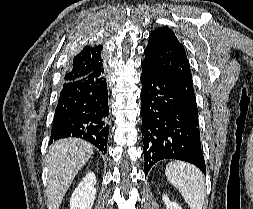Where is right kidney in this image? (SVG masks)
<instances>
[{
	"label": "right kidney",
	"mask_w": 253,
	"mask_h": 209,
	"mask_svg": "<svg viewBox=\"0 0 253 209\" xmlns=\"http://www.w3.org/2000/svg\"><path fill=\"white\" fill-rule=\"evenodd\" d=\"M95 184V174L88 173L74 190L70 199V209H92L97 192L94 188Z\"/></svg>",
	"instance_id": "1"
}]
</instances>
